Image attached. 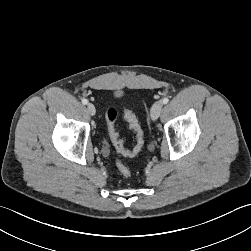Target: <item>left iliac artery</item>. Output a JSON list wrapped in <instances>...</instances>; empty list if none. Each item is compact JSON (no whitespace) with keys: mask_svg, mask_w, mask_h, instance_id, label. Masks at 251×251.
Wrapping results in <instances>:
<instances>
[{"mask_svg":"<svg viewBox=\"0 0 251 251\" xmlns=\"http://www.w3.org/2000/svg\"><path fill=\"white\" fill-rule=\"evenodd\" d=\"M168 101H169V99H168L167 97H165V98L162 99V103H163V104H167Z\"/></svg>","mask_w":251,"mask_h":251,"instance_id":"left-iliac-artery-1","label":"left iliac artery"}]
</instances>
